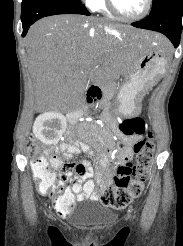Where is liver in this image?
I'll use <instances>...</instances> for the list:
<instances>
[{
  "instance_id": "1",
  "label": "liver",
  "mask_w": 183,
  "mask_h": 246,
  "mask_svg": "<svg viewBox=\"0 0 183 246\" xmlns=\"http://www.w3.org/2000/svg\"><path fill=\"white\" fill-rule=\"evenodd\" d=\"M168 47L159 34L96 17L56 15L34 23L25 39L34 94L56 111L68 112L82 101L87 79L105 85L127 75L135 61L133 38Z\"/></svg>"
}]
</instances>
